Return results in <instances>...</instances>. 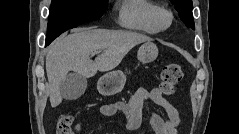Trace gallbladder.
I'll return each mask as SVG.
<instances>
[{
    "label": "gallbladder",
    "instance_id": "1",
    "mask_svg": "<svg viewBox=\"0 0 239 134\" xmlns=\"http://www.w3.org/2000/svg\"><path fill=\"white\" fill-rule=\"evenodd\" d=\"M87 87V79L73 72L68 74L61 82L60 93L66 100H75L84 94Z\"/></svg>",
    "mask_w": 239,
    "mask_h": 134
}]
</instances>
